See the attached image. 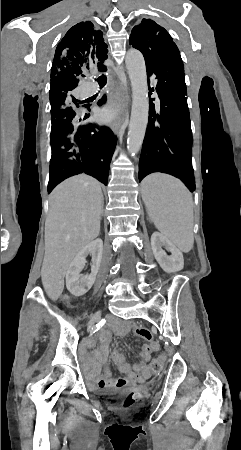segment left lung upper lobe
<instances>
[{
    "label": "left lung upper lobe",
    "instance_id": "left-lung-upper-lobe-1",
    "mask_svg": "<svg viewBox=\"0 0 241 450\" xmlns=\"http://www.w3.org/2000/svg\"><path fill=\"white\" fill-rule=\"evenodd\" d=\"M130 44L142 52L146 63H153L175 43L163 27L150 19H143L132 29Z\"/></svg>",
    "mask_w": 241,
    "mask_h": 450
}]
</instances>
